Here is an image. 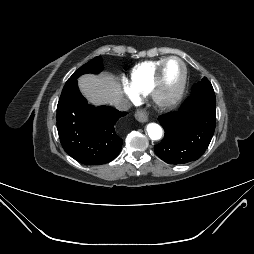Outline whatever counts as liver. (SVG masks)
I'll list each match as a JSON object with an SVG mask.
<instances>
[{"label":"liver","instance_id":"liver-1","mask_svg":"<svg viewBox=\"0 0 254 254\" xmlns=\"http://www.w3.org/2000/svg\"><path fill=\"white\" fill-rule=\"evenodd\" d=\"M79 88L89 102L100 104H113L122 97L120 85L109 74L100 76L86 74L78 80Z\"/></svg>","mask_w":254,"mask_h":254}]
</instances>
